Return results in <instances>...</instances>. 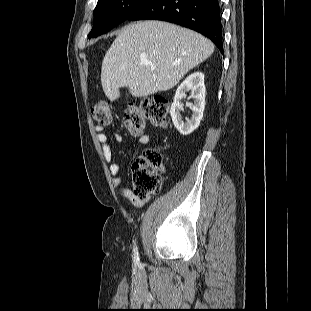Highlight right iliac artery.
<instances>
[{"instance_id": "1", "label": "right iliac artery", "mask_w": 311, "mask_h": 311, "mask_svg": "<svg viewBox=\"0 0 311 311\" xmlns=\"http://www.w3.org/2000/svg\"><path fill=\"white\" fill-rule=\"evenodd\" d=\"M133 261L135 264L139 263V254H138V249L136 245L133 248Z\"/></svg>"}]
</instances>
